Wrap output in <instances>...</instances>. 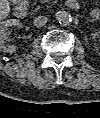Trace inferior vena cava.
Wrapping results in <instances>:
<instances>
[{"label": "inferior vena cava", "instance_id": "602c4592", "mask_svg": "<svg viewBox=\"0 0 100 118\" xmlns=\"http://www.w3.org/2000/svg\"><path fill=\"white\" fill-rule=\"evenodd\" d=\"M48 21V18L46 16H37L34 18V25L36 27H42L46 24V22Z\"/></svg>", "mask_w": 100, "mask_h": 118}]
</instances>
